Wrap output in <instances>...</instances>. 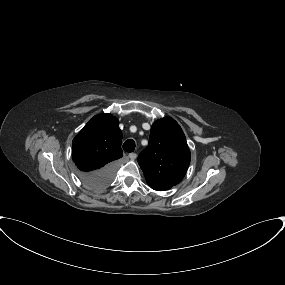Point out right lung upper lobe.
<instances>
[{"label": "right lung upper lobe", "instance_id": "1", "mask_svg": "<svg viewBox=\"0 0 285 285\" xmlns=\"http://www.w3.org/2000/svg\"><path fill=\"white\" fill-rule=\"evenodd\" d=\"M122 132L111 114H99L88 121L72 142V158L78 169L89 173L123 156Z\"/></svg>", "mask_w": 285, "mask_h": 285}]
</instances>
